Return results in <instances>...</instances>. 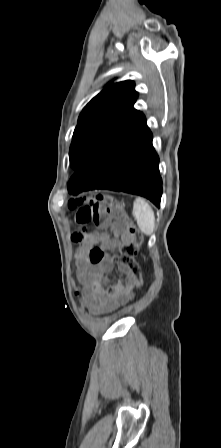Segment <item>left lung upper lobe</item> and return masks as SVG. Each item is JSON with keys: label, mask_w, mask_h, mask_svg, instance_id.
<instances>
[{"label": "left lung upper lobe", "mask_w": 221, "mask_h": 448, "mask_svg": "<svg viewBox=\"0 0 221 448\" xmlns=\"http://www.w3.org/2000/svg\"><path fill=\"white\" fill-rule=\"evenodd\" d=\"M137 95L132 81L111 83L84 107L69 151L72 168L95 166L146 124L133 108Z\"/></svg>", "instance_id": "left-lung-upper-lobe-1"}]
</instances>
